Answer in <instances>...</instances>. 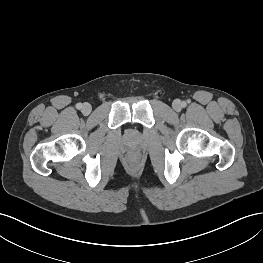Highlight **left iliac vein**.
Instances as JSON below:
<instances>
[{"label": "left iliac vein", "instance_id": "left-iliac-vein-1", "mask_svg": "<svg viewBox=\"0 0 263 263\" xmlns=\"http://www.w3.org/2000/svg\"><path fill=\"white\" fill-rule=\"evenodd\" d=\"M172 107L173 109L176 111V112H179L181 111L182 109V103L180 100H174L173 103H172Z\"/></svg>", "mask_w": 263, "mask_h": 263}]
</instances>
